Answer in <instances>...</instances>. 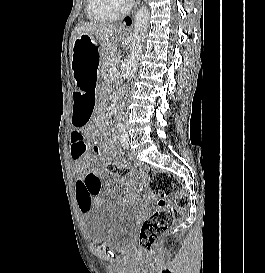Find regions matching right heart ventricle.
<instances>
[{"instance_id":"1","label":"right heart ventricle","mask_w":265,"mask_h":273,"mask_svg":"<svg viewBox=\"0 0 265 273\" xmlns=\"http://www.w3.org/2000/svg\"><path fill=\"white\" fill-rule=\"evenodd\" d=\"M118 10L113 8L109 0H89L87 15L95 22L114 20L119 16Z\"/></svg>"}]
</instances>
